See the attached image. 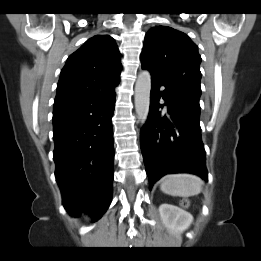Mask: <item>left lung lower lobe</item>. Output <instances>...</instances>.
Listing matches in <instances>:
<instances>
[{
	"instance_id": "1",
	"label": "left lung lower lobe",
	"mask_w": 261,
	"mask_h": 261,
	"mask_svg": "<svg viewBox=\"0 0 261 261\" xmlns=\"http://www.w3.org/2000/svg\"><path fill=\"white\" fill-rule=\"evenodd\" d=\"M150 111L140 146L149 189L163 175L189 172L208 179L201 137L200 96L152 77ZM163 99L164 105L159 101Z\"/></svg>"
}]
</instances>
